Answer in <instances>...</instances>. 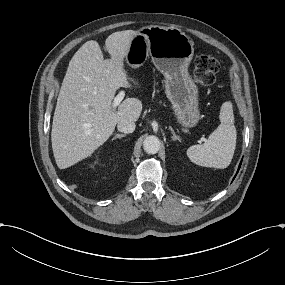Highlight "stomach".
Segmentation results:
<instances>
[{
	"label": "stomach",
	"mask_w": 285,
	"mask_h": 285,
	"mask_svg": "<svg viewBox=\"0 0 285 285\" xmlns=\"http://www.w3.org/2000/svg\"><path fill=\"white\" fill-rule=\"evenodd\" d=\"M133 40L127 63L142 65L148 56L164 76L166 96L178 125L192 129L201 120L199 89L188 67L194 56V44L178 28L151 26L143 28Z\"/></svg>",
	"instance_id": "stomach-1"
}]
</instances>
